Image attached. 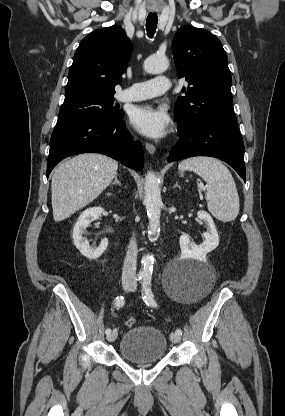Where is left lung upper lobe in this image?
<instances>
[{
    "mask_svg": "<svg viewBox=\"0 0 285 416\" xmlns=\"http://www.w3.org/2000/svg\"><path fill=\"white\" fill-rule=\"evenodd\" d=\"M172 53L178 76L189 86L183 87L185 96L175 104L179 130L213 118L235 117L232 77L219 39L207 30L182 26L174 36Z\"/></svg>",
    "mask_w": 285,
    "mask_h": 416,
    "instance_id": "1",
    "label": "left lung upper lobe"
}]
</instances>
